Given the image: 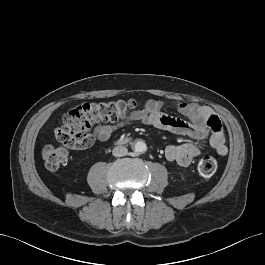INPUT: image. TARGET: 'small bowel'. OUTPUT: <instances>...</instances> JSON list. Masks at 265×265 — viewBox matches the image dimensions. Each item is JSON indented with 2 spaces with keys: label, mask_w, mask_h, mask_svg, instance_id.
Here are the masks:
<instances>
[{
  "label": "small bowel",
  "mask_w": 265,
  "mask_h": 265,
  "mask_svg": "<svg viewBox=\"0 0 265 265\" xmlns=\"http://www.w3.org/2000/svg\"><path fill=\"white\" fill-rule=\"evenodd\" d=\"M172 105L188 121L164 114L163 109L166 106V102L149 99L144 103L141 110L134 112L124 120L118 123H106L96 127L93 135H90V139L85 145H69L68 147L76 150L86 149L96 141L105 142L109 140L114 131L125 125L142 123L157 129L186 135L195 140L209 138L212 147L218 154H227V147L221 131L216 133L210 127V118L215 116L211 108L179 100L173 101ZM198 153L199 148L193 143L171 144L165 149L166 159L183 167L189 166Z\"/></svg>",
  "instance_id": "1"
}]
</instances>
